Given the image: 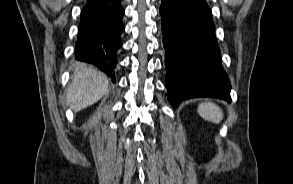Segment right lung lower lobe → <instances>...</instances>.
I'll list each match as a JSON object with an SVG mask.
<instances>
[{
  "instance_id": "98d812e1",
  "label": "right lung lower lobe",
  "mask_w": 293,
  "mask_h": 184,
  "mask_svg": "<svg viewBox=\"0 0 293 184\" xmlns=\"http://www.w3.org/2000/svg\"><path fill=\"white\" fill-rule=\"evenodd\" d=\"M121 0L87 3L81 11L75 58L92 63L115 82L116 51L121 47L124 31Z\"/></svg>"
}]
</instances>
